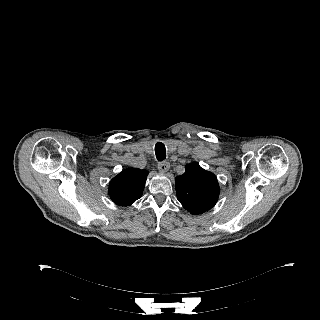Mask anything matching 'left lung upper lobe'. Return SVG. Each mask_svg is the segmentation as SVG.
<instances>
[{
    "instance_id": "left-lung-upper-lobe-1",
    "label": "left lung upper lobe",
    "mask_w": 320,
    "mask_h": 320,
    "mask_svg": "<svg viewBox=\"0 0 320 320\" xmlns=\"http://www.w3.org/2000/svg\"><path fill=\"white\" fill-rule=\"evenodd\" d=\"M175 186L179 202L194 215L211 209L220 193L216 176L196 162L185 166V173L175 178Z\"/></svg>"
}]
</instances>
